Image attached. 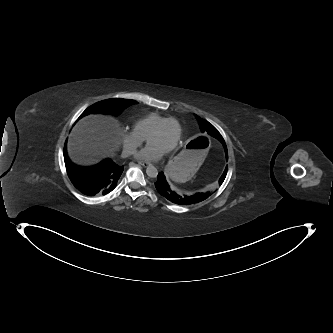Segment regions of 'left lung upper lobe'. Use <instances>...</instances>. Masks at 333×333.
I'll return each mask as SVG.
<instances>
[{
  "instance_id": "left-lung-upper-lobe-1",
  "label": "left lung upper lobe",
  "mask_w": 333,
  "mask_h": 333,
  "mask_svg": "<svg viewBox=\"0 0 333 333\" xmlns=\"http://www.w3.org/2000/svg\"><path fill=\"white\" fill-rule=\"evenodd\" d=\"M196 117L199 121V125H200L202 132L208 133L209 135L217 138L218 140L223 139L222 136L220 135V133L218 132V130L213 125H211L209 122H207L206 120H203L202 118H200L198 116H196ZM225 152H226V157L228 158L226 148H225ZM226 172H227V167H226V170L224 171L223 175L220 178V181H219L220 184L223 183V181L226 177Z\"/></svg>"
}]
</instances>
